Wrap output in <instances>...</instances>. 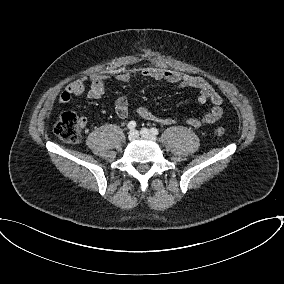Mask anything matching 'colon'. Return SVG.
I'll use <instances>...</instances> for the list:
<instances>
[{"mask_svg": "<svg viewBox=\"0 0 284 284\" xmlns=\"http://www.w3.org/2000/svg\"><path fill=\"white\" fill-rule=\"evenodd\" d=\"M54 133L63 141L76 144L81 140L80 120L71 112L62 113L54 125ZM215 133L219 136L225 134V129L216 127Z\"/></svg>", "mask_w": 284, "mask_h": 284, "instance_id": "5ec220e1", "label": "colon"}]
</instances>
